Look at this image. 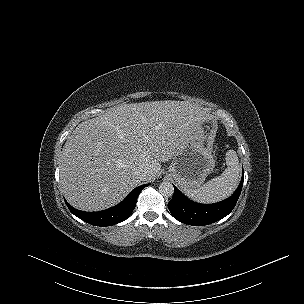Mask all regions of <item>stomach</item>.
I'll use <instances>...</instances> for the list:
<instances>
[{
	"label": "stomach",
	"instance_id": "0dacf381",
	"mask_svg": "<svg viewBox=\"0 0 304 304\" xmlns=\"http://www.w3.org/2000/svg\"><path fill=\"white\" fill-rule=\"evenodd\" d=\"M209 132L205 126L194 129L188 143L174 156L168 172L183 189L199 188L215 167Z\"/></svg>",
	"mask_w": 304,
	"mask_h": 304
}]
</instances>
